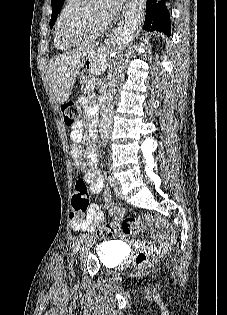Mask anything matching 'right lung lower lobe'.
<instances>
[{
  "instance_id": "1",
  "label": "right lung lower lobe",
  "mask_w": 227,
  "mask_h": 315,
  "mask_svg": "<svg viewBox=\"0 0 227 315\" xmlns=\"http://www.w3.org/2000/svg\"><path fill=\"white\" fill-rule=\"evenodd\" d=\"M166 0H147L145 26L147 31H163L170 35V15L165 6Z\"/></svg>"
}]
</instances>
